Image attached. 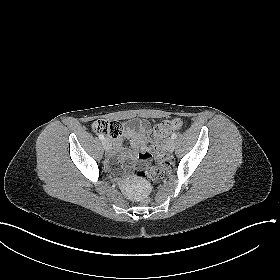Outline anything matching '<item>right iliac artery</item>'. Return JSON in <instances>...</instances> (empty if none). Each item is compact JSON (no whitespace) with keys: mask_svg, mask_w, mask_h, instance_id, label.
I'll return each mask as SVG.
<instances>
[{"mask_svg":"<svg viewBox=\"0 0 280 280\" xmlns=\"http://www.w3.org/2000/svg\"><path fill=\"white\" fill-rule=\"evenodd\" d=\"M98 137H99L100 140H104V135L99 134Z\"/></svg>","mask_w":280,"mask_h":280,"instance_id":"1","label":"right iliac artery"}]
</instances>
